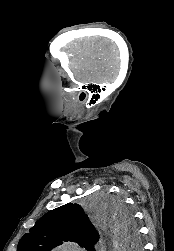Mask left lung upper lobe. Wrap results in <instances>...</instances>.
<instances>
[{"label":"left lung upper lobe","instance_id":"5c2ea615","mask_svg":"<svg viewBox=\"0 0 174 251\" xmlns=\"http://www.w3.org/2000/svg\"><path fill=\"white\" fill-rule=\"evenodd\" d=\"M106 214L114 220L118 237L140 249L138 231L130 211L120 200L105 201ZM98 232L82 207L68 203L41 217L20 239L17 251H50L63 241H73L88 251H95Z\"/></svg>","mask_w":174,"mask_h":251}]
</instances>
